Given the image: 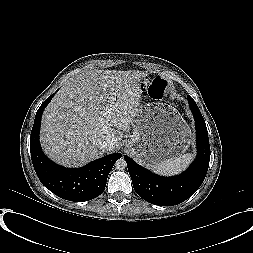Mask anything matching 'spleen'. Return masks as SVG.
<instances>
[{"label": "spleen", "mask_w": 253, "mask_h": 253, "mask_svg": "<svg viewBox=\"0 0 253 253\" xmlns=\"http://www.w3.org/2000/svg\"><path fill=\"white\" fill-rule=\"evenodd\" d=\"M192 160L193 154L186 153L179 157L160 162L150 168L161 175H173L184 170Z\"/></svg>", "instance_id": "1"}]
</instances>
